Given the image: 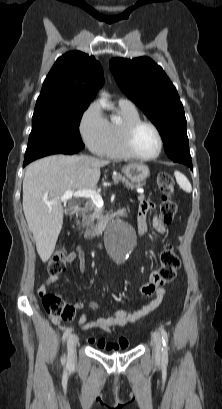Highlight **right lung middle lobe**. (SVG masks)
Here are the masks:
<instances>
[{"label":"right lung middle lobe","mask_w":222,"mask_h":409,"mask_svg":"<svg viewBox=\"0 0 222 409\" xmlns=\"http://www.w3.org/2000/svg\"><path fill=\"white\" fill-rule=\"evenodd\" d=\"M89 104H62L34 110L24 162L84 148L78 125Z\"/></svg>","instance_id":"obj_1"}]
</instances>
